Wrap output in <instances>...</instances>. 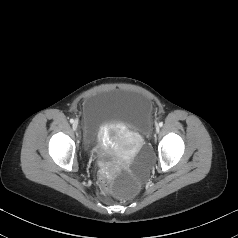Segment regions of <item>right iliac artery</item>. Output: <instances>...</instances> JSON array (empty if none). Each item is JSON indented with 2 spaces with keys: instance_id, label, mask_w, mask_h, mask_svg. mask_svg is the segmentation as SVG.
<instances>
[{
  "instance_id": "obj_1",
  "label": "right iliac artery",
  "mask_w": 238,
  "mask_h": 238,
  "mask_svg": "<svg viewBox=\"0 0 238 238\" xmlns=\"http://www.w3.org/2000/svg\"><path fill=\"white\" fill-rule=\"evenodd\" d=\"M74 122V120L73 119H70V123H73Z\"/></svg>"
}]
</instances>
